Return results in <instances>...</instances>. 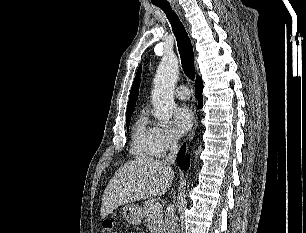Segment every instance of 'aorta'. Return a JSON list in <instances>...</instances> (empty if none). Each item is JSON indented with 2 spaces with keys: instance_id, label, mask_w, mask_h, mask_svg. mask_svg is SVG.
<instances>
[{
  "instance_id": "762f6f07",
  "label": "aorta",
  "mask_w": 306,
  "mask_h": 233,
  "mask_svg": "<svg viewBox=\"0 0 306 233\" xmlns=\"http://www.w3.org/2000/svg\"><path fill=\"white\" fill-rule=\"evenodd\" d=\"M179 74V62L176 56H164L156 70L152 102L154 116L161 125H166L172 117L175 107L174 88Z\"/></svg>"
}]
</instances>
